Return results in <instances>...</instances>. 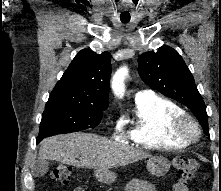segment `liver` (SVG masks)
<instances>
[{"instance_id":"obj_1","label":"liver","mask_w":221,"mask_h":191,"mask_svg":"<svg viewBox=\"0 0 221 191\" xmlns=\"http://www.w3.org/2000/svg\"><path fill=\"white\" fill-rule=\"evenodd\" d=\"M148 157L151 155L142 150L105 137L79 132L44 139L41 142L38 159L55 160L81 168L107 170Z\"/></svg>"}]
</instances>
